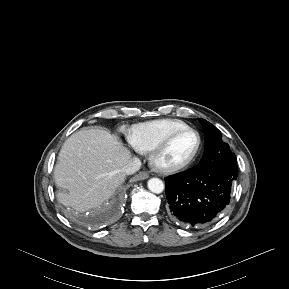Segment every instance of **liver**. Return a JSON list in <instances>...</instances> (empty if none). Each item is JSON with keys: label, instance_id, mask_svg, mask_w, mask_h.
<instances>
[{"label": "liver", "instance_id": "1", "mask_svg": "<svg viewBox=\"0 0 289 289\" xmlns=\"http://www.w3.org/2000/svg\"><path fill=\"white\" fill-rule=\"evenodd\" d=\"M130 151L107 131L83 129L63 144L54 169V179L65 192L58 200L78 211L101 205L124 182V167Z\"/></svg>", "mask_w": 289, "mask_h": 289}]
</instances>
